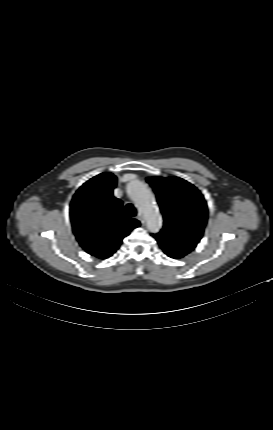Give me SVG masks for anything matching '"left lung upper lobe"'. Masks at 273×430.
I'll return each mask as SVG.
<instances>
[{"label": "left lung upper lobe", "instance_id": "left-lung-upper-lobe-1", "mask_svg": "<svg viewBox=\"0 0 273 430\" xmlns=\"http://www.w3.org/2000/svg\"><path fill=\"white\" fill-rule=\"evenodd\" d=\"M164 218L162 230L152 236L164 253L182 258L202 238L208 209L203 195L191 183L179 177H149Z\"/></svg>", "mask_w": 273, "mask_h": 430}]
</instances>
